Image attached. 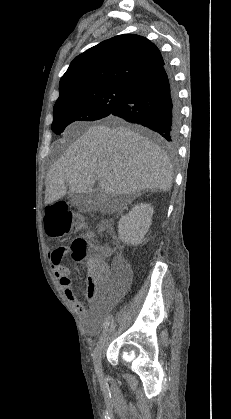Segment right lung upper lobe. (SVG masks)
<instances>
[{
    "mask_svg": "<svg viewBox=\"0 0 231 419\" xmlns=\"http://www.w3.org/2000/svg\"><path fill=\"white\" fill-rule=\"evenodd\" d=\"M162 64L159 49L148 39L132 34L115 36L74 58L60 80L57 101L84 89L131 88Z\"/></svg>",
    "mask_w": 231,
    "mask_h": 419,
    "instance_id": "obj_1",
    "label": "right lung upper lobe"
}]
</instances>
